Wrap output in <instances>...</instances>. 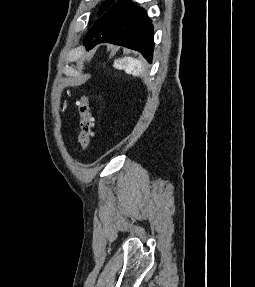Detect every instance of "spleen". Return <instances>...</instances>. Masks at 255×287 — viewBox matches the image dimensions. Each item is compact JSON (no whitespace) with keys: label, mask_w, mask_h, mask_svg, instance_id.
Wrapping results in <instances>:
<instances>
[{"label":"spleen","mask_w":255,"mask_h":287,"mask_svg":"<svg viewBox=\"0 0 255 287\" xmlns=\"http://www.w3.org/2000/svg\"><path fill=\"white\" fill-rule=\"evenodd\" d=\"M113 66L117 70H125L127 74H132V76H141L144 72L143 62L141 60H134V58L115 60Z\"/></svg>","instance_id":"spleen-1"}]
</instances>
